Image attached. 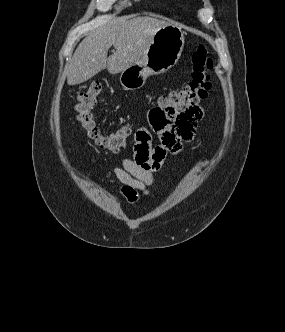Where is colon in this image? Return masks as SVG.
<instances>
[{
	"label": "colon",
	"instance_id": "5ec220e1",
	"mask_svg": "<svg viewBox=\"0 0 285 332\" xmlns=\"http://www.w3.org/2000/svg\"><path fill=\"white\" fill-rule=\"evenodd\" d=\"M212 67V59L208 56L206 48L200 45L192 55V78L190 83L162 96L155 106L179 107L182 112L196 106L207 97L211 89L210 72ZM102 88L101 81H93L79 93L75 105L76 117L87 136L100 148L116 152L125 147L132 128L131 126H124L108 133L100 130L94 111Z\"/></svg>",
	"mask_w": 285,
	"mask_h": 332
}]
</instances>
